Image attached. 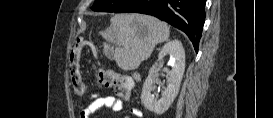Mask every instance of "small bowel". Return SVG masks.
Returning <instances> with one entry per match:
<instances>
[{
  "label": "small bowel",
  "instance_id": "obj_1",
  "mask_svg": "<svg viewBox=\"0 0 273 118\" xmlns=\"http://www.w3.org/2000/svg\"><path fill=\"white\" fill-rule=\"evenodd\" d=\"M101 108H107L111 111L118 112L123 109V102L111 95L104 94H92L87 101L80 106L79 116L80 118H91L92 115ZM131 114L134 117H142V111L137 108H131Z\"/></svg>",
  "mask_w": 273,
  "mask_h": 118
}]
</instances>
